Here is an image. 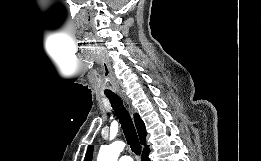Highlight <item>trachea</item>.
I'll return each mask as SVG.
<instances>
[{
	"mask_svg": "<svg viewBox=\"0 0 261 161\" xmlns=\"http://www.w3.org/2000/svg\"><path fill=\"white\" fill-rule=\"evenodd\" d=\"M107 97L110 100V103L113 109L115 110L116 115L120 121L121 128L128 142V145L130 146L132 152H134L136 155H140L141 145L134 124L132 122V119L128 111L124 107L121 98L117 95H107Z\"/></svg>",
	"mask_w": 261,
	"mask_h": 161,
	"instance_id": "obj_1",
	"label": "trachea"
}]
</instances>
